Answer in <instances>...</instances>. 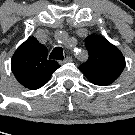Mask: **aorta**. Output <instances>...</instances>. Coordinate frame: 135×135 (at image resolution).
Segmentation results:
<instances>
[{
	"label": "aorta",
	"instance_id": "762f6f07",
	"mask_svg": "<svg viewBox=\"0 0 135 135\" xmlns=\"http://www.w3.org/2000/svg\"><path fill=\"white\" fill-rule=\"evenodd\" d=\"M65 44L67 43V40L63 41Z\"/></svg>",
	"mask_w": 135,
	"mask_h": 135
}]
</instances>
